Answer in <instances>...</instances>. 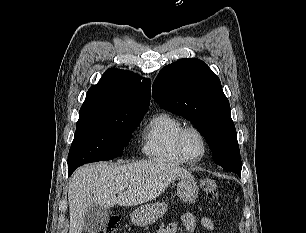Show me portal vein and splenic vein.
I'll return each instance as SVG.
<instances>
[{"instance_id":"obj_1","label":"portal vein and splenic vein","mask_w":306,"mask_h":233,"mask_svg":"<svg viewBox=\"0 0 306 233\" xmlns=\"http://www.w3.org/2000/svg\"><path fill=\"white\" fill-rule=\"evenodd\" d=\"M125 188H126L125 185H121V186L118 187V190H124Z\"/></svg>"}]
</instances>
